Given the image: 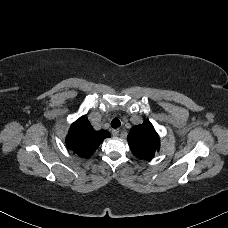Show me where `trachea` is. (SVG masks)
Instances as JSON below:
<instances>
[{"label":"trachea","instance_id":"3493384b","mask_svg":"<svg viewBox=\"0 0 228 228\" xmlns=\"http://www.w3.org/2000/svg\"><path fill=\"white\" fill-rule=\"evenodd\" d=\"M120 125H121V121L118 118H114L111 121L112 128H118V127H120Z\"/></svg>","mask_w":228,"mask_h":228}]
</instances>
